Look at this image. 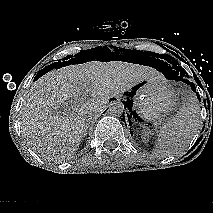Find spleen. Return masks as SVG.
<instances>
[{"label": "spleen", "instance_id": "spleen-1", "mask_svg": "<svg viewBox=\"0 0 213 213\" xmlns=\"http://www.w3.org/2000/svg\"><path fill=\"white\" fill-rule=\"evenodd\" d=\"M200 127V106L196 96L191 95L177 114L160 128L157 147L166 155L186 148Z\"/></svg>", "mask_w": 213, "mask_h": 213}]
</instances>
